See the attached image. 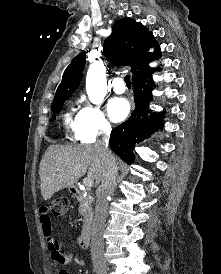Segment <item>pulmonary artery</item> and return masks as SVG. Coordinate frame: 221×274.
<instances>
[{"instance_id": "obj_1", "label": "pulmonary artery", "mask_w": 221, "mask_h": 274, "mask_svg": "<svg viewBox=\"0 0 221 274\" xmlns=\"http://www.w3.org/2000/svg\"><path fill=\"white\" fill-rule=\"evenodd\" d=\"M112 89L117 94H122L125 92L126 87L124 81L121 77H115L112 81Z\"/></svg>"}]
</instances>
